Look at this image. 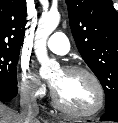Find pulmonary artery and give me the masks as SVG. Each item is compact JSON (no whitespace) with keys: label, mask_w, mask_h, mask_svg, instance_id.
I'll list each match as a JSON object with an SVG mask.
<instances>
[{"label":"pulmonary artery","mask_w":118,"mask_h":123,"mask_svg":"<svg viewBox=\"0 0 118 123\" xmlns=\"http://www.w3.org/2000/svg\"><path fill=\"white\" fill-rule=\"evenodd\" d=\"M47 47L58 55H65L70 49L67 36L62 32L54 33L46 43Z\"/></svg>","instance_id":"obj_1"}]
</instances>
